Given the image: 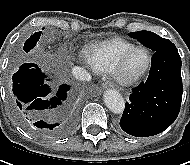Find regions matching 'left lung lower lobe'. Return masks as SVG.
<instances>
[{
    "label": "left lung lower lobe",
    "instance_id": "1",
    "mask_svg": "<svg viewBox=\"0 0 190 165\" xmlns=\"http://www.w3.org/2000/svg\"><path fill=\"white\" fill-rule=\"evenodd\" d=\"M182 93L181 58L171 43L154 52L148 79L133 89L120 127L136 137L161 133L177 118Z\"/></svg>",
    "mask_w": 190,
    "mask_h": 165
}]
</instances>
